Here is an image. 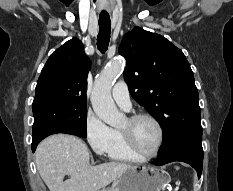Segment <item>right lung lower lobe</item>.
<instances>
[{"instance_id": "right-lung-lower-lobe-1", "label": "right lung lower lobe", "mask_w": 233, "mask_h": 191, "mask_svg": "<svg viewBox=\"0 0 233 191\" xmlns=\"http://www.w3.org/2000/svg\"><path fill=\"white\" fill-rule=\"evenodd\" d=\"M55 133H58L56 131H49V132H45V133H42L38 136H35L33 137V140H32V151L34 152L37 145L39 144V142L41 140H43L45 137L49 136V135H52V134H55Z\"/></svg>"}]
</instances>
